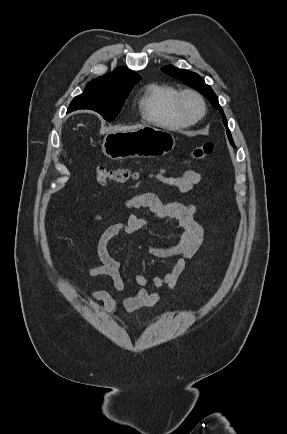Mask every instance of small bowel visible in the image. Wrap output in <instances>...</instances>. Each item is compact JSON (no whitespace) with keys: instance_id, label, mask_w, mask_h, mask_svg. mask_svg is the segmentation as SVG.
Instances as JSON below:
<instances>
[{"instance_id":"small-bowel-1","label":"small bowel","mask_w":287,"mask_h":434,"mask_svg":"<svg viewBox=\"0 0 287 434\" xmlns=\"http://www.w3.org/2000/svg\"><path fill=\"white\" fill-rule=\"evenodd\" d=\"M150 179L188 195L200 183L201 176L194 170H187L180 176L150 174L138 179L130 188L141 187ZM123 209L128 216L127 222L111 225L101 234L98 241L97 265L87 271L89 276H109L117 290L125 288V282L120 273L122 263L107 252V244L111 239L122 234L139 238V233L149 228L148 222L132 215L131 210L145 209L158 218L176 220L182 229V234L179 240L172 244H146V255L156 258H172L174 264L169 271L160 277H146L141 273L136 274L134 280L138 289L130 292L122 303L114 301L103 290H96L91 293L90 299L92 301L102 302L105 308L113 313L120 310L134 312L142 307H151L156 304L160 300L161 294L158 292L149 293L148 288L165 287L172 290L186 271L189 261L200 248L204 237V230L196 220L197 206L192 201L163 203L152 193H141L127 198L123 203ZM101 218V215H94L89 218L88 223H94Z\"/></svg>"}]
</instances>
